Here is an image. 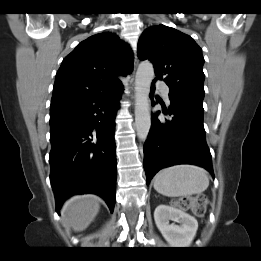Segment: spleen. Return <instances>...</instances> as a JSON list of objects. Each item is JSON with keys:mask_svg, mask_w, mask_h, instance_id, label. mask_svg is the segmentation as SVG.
I'll return each mask as SVG.
<instances>
[{"mask_svg": "<svg viewBox=\"0 0 261 261\" xmlns=\"http://www.w3.org/2000/svg\"><path fill=\"white\" fill-rule=\"evenodd\" d=\"M209 186L208 172L194 165H176L159 171L154 189L167 197L200 194Z\"/></svg>", "mask_w": 261, "mask_h": 261, "instance_id": "1", "label": "spleen"}]
</instances>
